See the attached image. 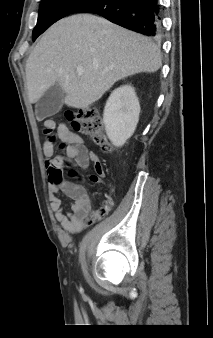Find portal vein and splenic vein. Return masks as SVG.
I'll list each match as a JSON object with an SVG mask.
<instances>
[{
	"mask_svg": "<svg viewBox=\"0 0 213 338\" xmlns=\"http://www.w3.org/2000/svg\"><path fill=\"white\" fill-rule=\"evenodd\" d=\"M76 72L78 73V75H82L84 71L82 67H77Z\"/></svg>",
	"mask_w": 213,
	"mask_h": 338,
	"instance_id": "1",
	"label": "portal vein and splenic vein"
}]
</instances>
